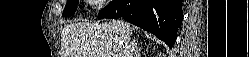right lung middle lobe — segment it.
Here are the masks:
<instances>
[{
  "label": "right lung middle lobe",
  "instance_id": "dd1d6c3e",
  "mask_svg": "<svg viewBox=\"0 0 249 57\" xmlns=\"http://www.w3.org/2000/svg\"><path fill=\"white\" fill-rule=\"evenodd\" d=\"M78 2H79V0H69V1H67L62 16H64V17L72 16L75 13L76 9H77Z\"/></svg>",
  "mask_w": 249,
  "mask_h": 57
}]
</instances>
